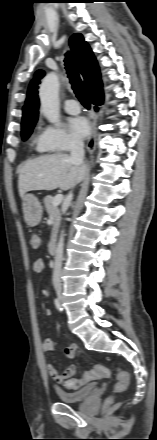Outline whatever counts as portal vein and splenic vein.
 Here are the masks:
<instances>
[{
	"instance_id": "18ae733b",
	"label": "portal vein and splenic vein",
	"mask_w": 157,
	"mask_h": 440,
	"mask_svg": "<svg viewBox=\"0 0 157 440\" xmlns=\"http://www.w3.org/2000/svg\"><path fill=\"white\" fill-rule=\"evenodd\" d=\"M62 200H63V195H62V194H57V195L54 197V200H53V206H54V207H57V206L62 202Z\"/></svg>"
}]
</instances>
